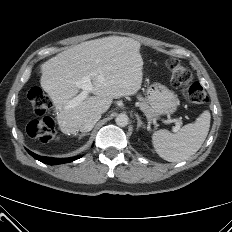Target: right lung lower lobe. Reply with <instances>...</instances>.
I'll return each instance as SVG.
<instances>
[{
	"mask_svg": "<svg viewBox=\"0 0 232 232\" xmlns=\"http://www.w3.org/2000/svg\"><path fill=\"white\" fill-rule=\"evenodd\" d=\"M27 152L33 156L35 159L43 162V163H46V164H49V165H56V164H62V163H69V162H72L76 159H79L81 158L82 156L81 155H78V156H75V157H71V158H51V157H43V156H39L31 151H29L28 149H26Z\"/></svg>",
	"mask_w": 232,
	"mask_h": 232,
	"instance_id": "1",
	"label": "right lung lower lobe"
}]
</instances>
